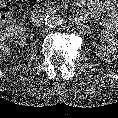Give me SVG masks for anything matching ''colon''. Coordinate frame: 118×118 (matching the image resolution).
<instances>
[{
	"label": "colon",
	"instance_id": "5ec220e1",
	"mask_svg": "<svg viewBox=\"0 0 118 118\" xmlns=\"http://www.w3.org/2000/svg\"><path fill=\"white\" fill-rule=\"evenodd\" d=\"M31 4L37 2V0H26ZM12 21V12L7 7L6 3L0 0V26L9 24Z\"/></svg>",
	"mask_w": 118,
	"mask_h": 118
}]
</instances>
